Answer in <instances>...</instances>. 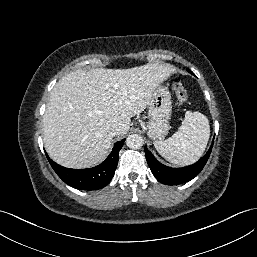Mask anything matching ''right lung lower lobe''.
<instances>
[{"label":"right lung lower lobe","instance_id":"98d812e1","mask_svg":"<svg viewBox=\"0 0 257 257\" xmlns=\"http://www.w3.org/2000/svg\"><path fill=\"white\" fill-rule=\"evenodd\" d=\"M125 139L115 143L112 152L100 165L89 169H69L47 159L57 175L68 185L80 190H98L105 187L114 176L118 164L119 151Z\"/></svg>","mask_w":257,"mask_h":257}]
</instances>
